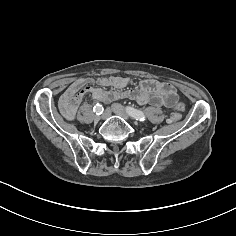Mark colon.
Wrapping results in <instances>:
<instances>
[{
    "mask_svg": "<svg viewBox=\"0 0 236 236\" xmlns=\"http://www.w3.org/2000/svg\"><path fill=\"white\" fill-rule=\"evenodd\" d=\"M180 118V114L178 112H175L171 116V121H178Z\"/></svg>",
    "mask_w": 236,
    "mask_h": 236,
    "instance_id": "5ec220e1",
    "label": "colon"
}]
</instances>
